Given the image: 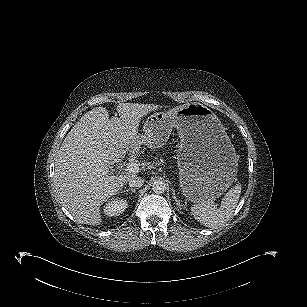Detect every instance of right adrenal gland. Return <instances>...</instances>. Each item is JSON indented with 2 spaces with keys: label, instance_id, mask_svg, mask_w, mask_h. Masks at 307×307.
Returning <instances> with one entry per match:
<instances>
[{
  "label": "right adrenal gland",
  "instance_id": "2a0ac1e0",
  "mask_svg": "<svg viewBox=\"0 0 307 307\" xmlns=\"http://www.w3.org/2000/svg\"><path fill=\"white\" fill-rule=\"evenodd\" d=\"M136 189H137V188H129V189H127L126 191H127V192H128V191H131V192L133 193V192L136 191Z\"/></svg>",
  "mask_w": 307,
  "mask_h": 307
}]
</instances>
